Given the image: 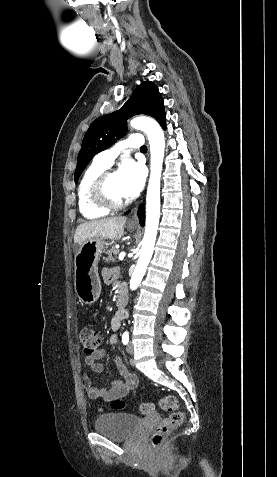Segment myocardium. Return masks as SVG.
<instances>
[{"instance_id":"f54148a6","label":"myocardium","mask_w":277,"mask_h":477,"mask_svg":"<svg viewBox=\"0 0 277 477\" xmlns=\"http://www.w3.org/2000/svg\"><path fill=\"white\" fill-rule=\"evenodd\" d=\"M113 173H115L113 170H104L94 179L89 189V196L93 204L107 211L120 210L127 204L125 199L118 201L112 199L107 192V183Z\"/></svg>"}]
</instances>
